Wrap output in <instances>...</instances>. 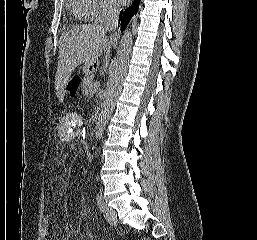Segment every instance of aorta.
<instances>
[{
    "mask_svg": "<svg viewBox=\"0 0 257 240\" xmlns=\"http://www.w3.org/2000/svg\"><path fill=\"white\" fill-rule=\"evenodd\" d=\"M132 42V32L130 29H126L120 41L117 60L111 70L106 99L102 105V110L96 123V139L102 138L105 126L114 111L117 99L121 93L131 56Z\"/></svg>",
    "mask_w": 257,
    "mask_h": 240,
    "instance_id": "1",
    "label": "aorta"
}]
</instances>
